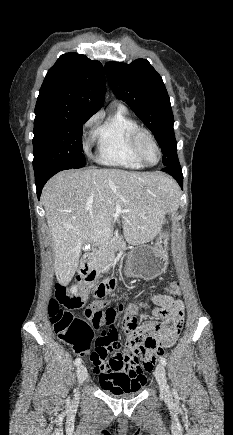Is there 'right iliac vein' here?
I'll use <instances>...</instances> for the list:
<instances>
[{
    "instance_id": "1",
    "label": "right iliac vein",
    "mask_w": 233,
    "mask_h": 435,
    "mask_svg": "<svg viewBox=\"0 0 233 435\" xmlns=\"http://www.w3.org/2000/svg\"><path fill=\"white\" fill-rule=\"evenodd\" d=\"M87 377V369L84 365H80L77 368V378H78V382L79 384H82L85 379Z\"/></svg>"
}]
</instances>
